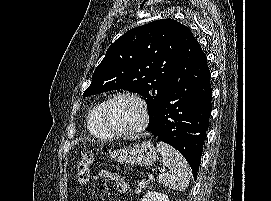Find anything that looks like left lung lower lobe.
I'll list each match as a JSON object with an SVG mask.
<instances>
[{"instance_id":"left-lung-lower-lobe-1","label":"left lung lower lobe","mask_w":271,"mask_h":201,"mask_svg":"<svg viewBox=\"0 0 271 201\" xmlns=\"http://www.w3.org/2000/svg\"><path fill=\"white\" fill-rule=\"evenodd\" d=\"M210 77L205 53L184 28L170 87L155 125L146 128L186 158L195 179L211 113Z\"/></svg>"}]
</instances>
